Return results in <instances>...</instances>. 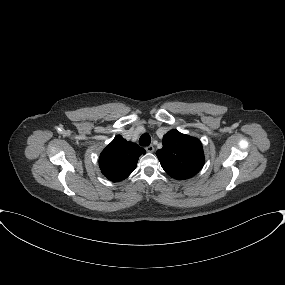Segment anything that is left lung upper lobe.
Instances as JSON below:
<instances>
[{"mask_svg":"<svg viewBox=\"0 0 285 285\" xmlns=\"http://www.w3.org/2000/svg\"><path fill=\"white\" fill-rule=\"evenodd\" d=\"M162 144L156 155L172 178L188 179L202 169L205 158L199 139L171 130L163 136Z\"/></svg>","mask_w":285,"mask_h":285,"instance_id":"obj_1","label":"left lung upper lobe"}]
</instances>
